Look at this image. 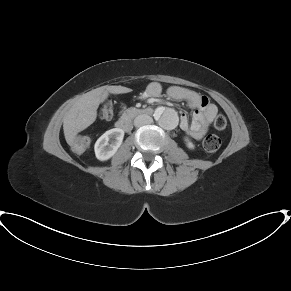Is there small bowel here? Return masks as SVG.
<instances>
[{
  "label": "small bowel",
  "mask_w": 291,
  "mask_h": 291,
  "mask_svg": "<svg viewBox=\"0 0 291 291\" xmlns=\"http://www.w3.org/2000/svg\"><path fill=\"white\" fill-rule=\"evenodd\" d=\"M146 94L150 98L159 97L160 84L157 82L149 84ZM167 94L174 100L186 101L194 109L191 121L185 115L181 116L180 127L191 137L201 139L207 133L210 122L217 115V106L211 103L205 95L180 86L170 87Z\"/></svg>",
  "instance_id": "1"
}]
</instances>
